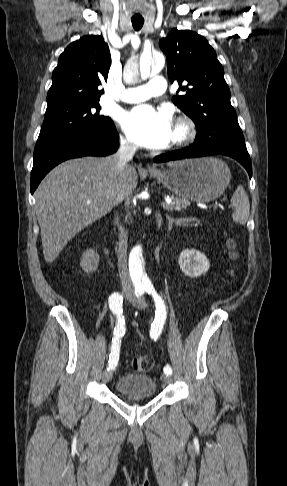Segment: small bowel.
Wrapping results in <instances>:
<instances>
[{
    "mask_svg": "<svg viewBox=\"0 0 287 486\" xmlns=\"http://www.w3.org/2000/svg\"><path fill=\"white\" fill-rule=\"evenodd\" d=\"M96 307H97L98 310H100V307L98 305Z\"/></svg>",
    "mask_w": 287,
    "mask_h": 486,
    "instance_id": "c3829d8e",
    "label": "small bowel"
}]
</instances>
